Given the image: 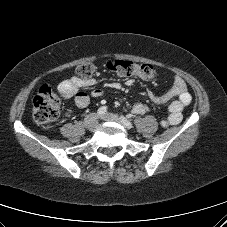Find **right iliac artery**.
Wrapping results in <instances>:
<instances>
[{
	"label": "right iliac artery",
	"mask_w": 227,
	"mask_h": 227,
	"mask_svg": "<svg viewBox=\"0 0 227 227\" xmlns=\"http://www.w3.org/2000/svg\"><path fill=\"white\" fill-rule=\"evenodd\" d=\"M106 112H107V107H106V106H102V107H100V108L98 109L97 114H98L99 116H101V115L105 114Z\"/></svg>",
	"instance_id": "82829eb1"
}]
</instances>
